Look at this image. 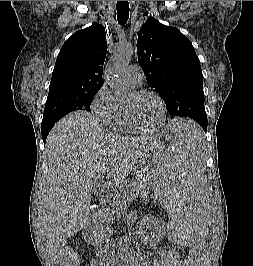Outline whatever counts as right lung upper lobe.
Masks as SVG:
<instances>
[{
  "mask_svg": "<svg viewBox=\"0 0 253 266\" xmlns=\"http://www.w3.org/2000/svg\"><path fill=\"white\" fill-rule=\"evenodd\" d=\"M107 43L103 25L74 33L62 46L55 63L49 94L99 90Z\"/></svg>",
  "mask_w": 253,
  "mask_h": 266,
  "instance_id": "right-lung-upper-lobe-1",
  "label": "right lung upper lobe"
}]
</instances>
